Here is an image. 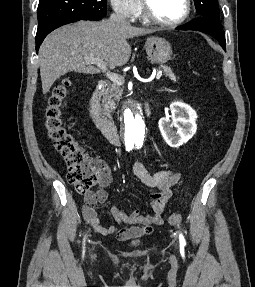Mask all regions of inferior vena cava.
I'll return each mask as SVG.
<instances>
[{
	"instance_id": "1",
	"label": "inferior vena cava",
	"mask_w": 255,
	"mask_h": 287,
	"mask_svg": "<svg viewBox=\"0 0 255 287\" xmlns=\"http://www.w3.org/2000/svg\"><path fill=\"white\" fill-rule=\"evenodd\" d=\"M108 22H111V24H128L126 16L121 14V12H115V14H111Z\"/></svg>"
}]
</instances>
